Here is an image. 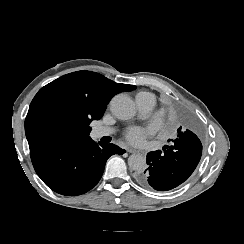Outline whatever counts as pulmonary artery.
Listing matches in <instances>:
<instances>
[{
	"mask_svg": "<svg viewBox=\"0 0 244 244\" xmlns=\"http://www.w3.org/2000/svg\"><path fill=\"white\" fill-rule=\"evenodd\" d=\"M136 105L140 115L142 117H146L150 114V112L156 105V98L151 93L141 92L136 97ZM114 132V128L98 127L92 130L91 136L94 138H101L103 136L111 135Z\"/></svg>",
	"mask_w": 244,
	"mask_h": 244,
	"instance_id": "e3ab8cb5",
	"label": "pulmonary artery"
}]
</instances>
